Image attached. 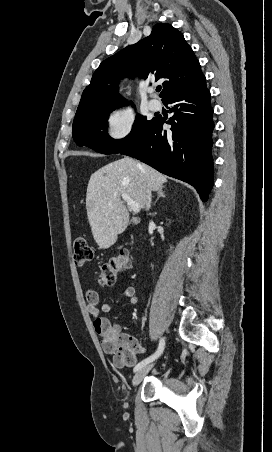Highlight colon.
Listing matches in <instances>:
<instances>
[{"instance_id": "5ec220e1", "label": "colon", "mask_w": 272, "mask_h": 452, "mask_svg": "<svg viewBox=\"0 0 272 452\" xmlns=\"http://www.w3.org/2000/svg\"><path fill=\"white\" fill-rule=\"evenodd\" d=\"M74 263L83 266L94 260L93 248L87 240L79 238L74 242ZM130 267V257L127 252L115 254L100 267L99 281L103 286H112L116 283L118 276ZM107 347L114 354V363L118 367H132L135 362V353L139 352L136 341L127 339L124 335L112 337Z\"/></svg>"}]
</instances>
